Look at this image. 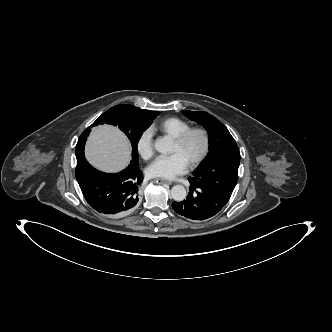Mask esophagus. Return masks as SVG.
I'll return each mask as SVG.
<instances>
[{"label":"esophagus","instance_id":"obj_1","mask_svg":"<svg viewBox=\"0 0 332 332\" xmlns=\"http://www.w3.org/2000/svg\"><path fill=\"white\" fill-rule=\"evenodd\" d=\"M155 181L159 184H168V185L171 184L170 181H167V180H164V179H155Z\"/></svg>","mask_w":332,"mask_h":332}]
</instances>
